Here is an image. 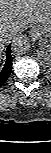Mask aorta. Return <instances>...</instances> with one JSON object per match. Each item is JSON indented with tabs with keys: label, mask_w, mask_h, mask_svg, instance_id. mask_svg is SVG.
Here are the masks:
<instances>
[{
	"label": "aorta",
	"mask_w": 51,
	"mask_h": 153,
	"mask_svg": "<svg viewBox=\"0 0 51 153\" xmlns=\"http://www.w3.org/2000/svg\"><path fill=\"white\" fill-rule=\"evenodd\" d=\"M31 48V39L28 35L20 34L13 38L12 49L16 54H25Z\"/></svg>",
	"instance_id": "aorta-1"
}]
</instances>
